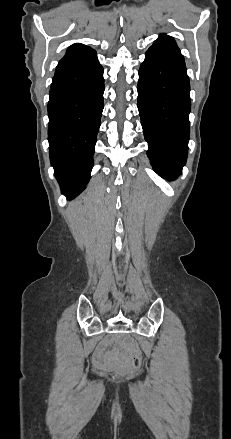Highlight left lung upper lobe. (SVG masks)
I'll list each match as a JSON object with an SVG mask.
<instances>
[{
    "label": "left lung upper lobe",
    "mask_w": 231,
    "mask_h": 439,
    "mask_svg": "<svg viewBox=\"0 0 231 439\" xmlns=\"http://www.w3.org/2000/svg\"><path fill=\"white\" fill-rule=\"evenodd\" d=\"M151 47H158L161 49H166L180 53V50L177 47L173 37L168 36L166 34H161L159 38L155 40L154 44Z\"/></svg>",
    "instance_id": "left-lung-upper-lobe-1"
}]
</instances>
